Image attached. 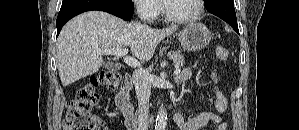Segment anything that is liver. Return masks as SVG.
<instances>
[{"label":"liver","instance_id":"6515ba94","mask_svg":"<svg viewBox=\"0 0 299 130\" xmlns=\"http://www.w3.org/2000/svg\"><path fill=\"white\" fill-rule=\"evenodd\" d=\"M176 30V26L158 30L136 22L126 23L102 11L82 13L62 28L56 43L62 85L66 87L98 72L104 62L97 50L129 46L136 58L148 61L161 40Z\"/></svg>","mask_w":299,"mask_h":130}]
</instances>
